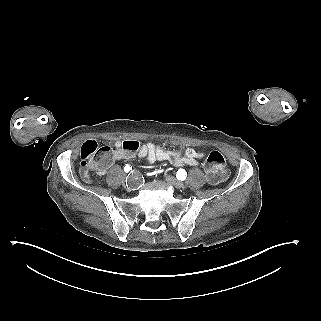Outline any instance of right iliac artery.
I'll return each instance as SVG.
<instances>
[{"label": "right iliac artery", "mask_w": 321, "mask_h": 321, "mask_svg": "<svg viewBox=\"0 0 321 321\" xmlns=\"http://www.w3.org/2000/svg\"><path fill=\"white\" fill-rule=\"evenodd\" d=\"M131 170H132V167L129 166V165H126V166L124 167V171H125L126 173L130 172Z\"/></svg>", "instance_id": "obj_1"}]
</instances>
